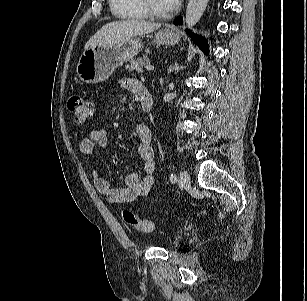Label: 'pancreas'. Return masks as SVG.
<instances>
[{"instance_id":"obj_1","label":"pancreas","mask_w":307,"mask_h":301,"mask_svg":"<svg viewBox=\"0 0 307 301\" xmlns=\"http://www.w3.org/2000/svg\"><path fill=\"white\" fill-rule=\"evenodd\" d=\"M149 59L147 56L143 55L139 58L132 59L129 65H126L125 68L130 71L142 72L145 64L149 63Z\"/></svg>"}]
</instances>
